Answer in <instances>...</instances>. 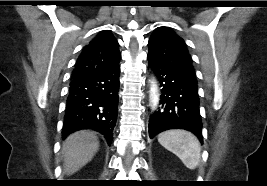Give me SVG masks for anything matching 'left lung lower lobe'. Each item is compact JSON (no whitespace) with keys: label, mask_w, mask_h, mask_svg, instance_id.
<instances>
[{"label":"left lung lower lobe","mask_w":267,"mask_h":186,"mask_svg":"<svg viewBox=\"0 0 267 186\" xmlns=\"http://www.w3.org/2000/svg\"><path fill=\"white\" fill-rule=\"evenodd\" d=\"M149 66L160 82L161 106L151 115L149 136L169 129H185L202 142V123L197 81L147 56Z\"/></svg>","instance_id":"obj_1"}]
</instances>
